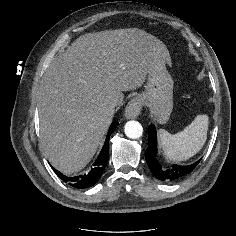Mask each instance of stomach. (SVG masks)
<instances>
[{
    "instance_id": "1",
    "label": "stomach",
    "mask_w": 236,
    "mask_h": 236,
    "mask_svg": "<svg viewBox=\"0 0 236 236\" xmlns=\"http://www.w3.org/2000/svg\"><path fill=\"white\" fill-rule=\"evenodd\" d=\"M165 64L163 61L152 64L145 91L140 95L141 102L150 108L152 116L160 124L168 121L173 109V80Z\"/></svg>"
}]
</instances>
